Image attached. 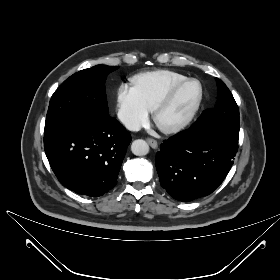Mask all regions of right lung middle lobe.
Instances as JSON below:
<instances>
[{
  "label": "right lung middle lobe",
  "instance_id": "obj_1",
  "mask_svg": "<svg viewBox=\"0 0 280 280\" xmlns=\"http://www.w3.org/2000/svg\"><path fill=\"white\" fill-rule=\"evenodd\" d=\"M118 66L96 65L66 79L51 97L45 130L68 120L107 122L106 76Z\"/></svg>",
  "mask_w": 280,
  "mask_h": 280
}]
</instances>
